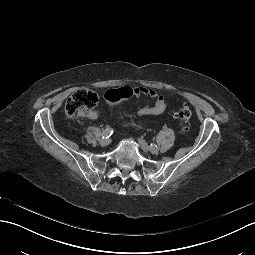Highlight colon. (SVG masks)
I'll return each mask as SVG.
<instances>
[{"label":"colon","instance_id":"1","mask_svg":"<svg viewBox=\"0 0 255 255\" xmlns=\"http://www.w3.org/2000/svg\"><path fill=\"white\" fill-rule=\"evenodd\" d=\"M135 90L130 87L108 90L105 93L106 100L111 103H117L123 99L131 97ZM98 103V96L91 90L79 89L75 91L66 101L65 113L70 118H76L91 112ZM183 131H187L190 125L191 110L188 105L179 106L173 113Z\"/></svg>","mask_w":255,"mask_h":255}]
</instances>
